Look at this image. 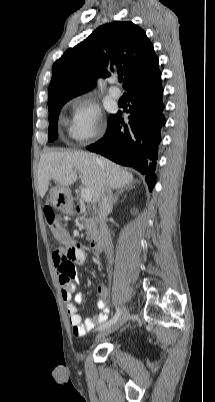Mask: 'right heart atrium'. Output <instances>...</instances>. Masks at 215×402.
I'll return each mask as SVG.
<instances>
[{"instance_id":"d8ad5b80","label":"right heart atrium","mask_w":215,"mask_h":402,"mask_svg":"<svg viewBox=\"0 0 215 402\" xmlns=\"http://www.w3.org/2000/svg\"><path fill=\"white\" fill-rule=\"evenodd\" d=\"M102 112L100 107L88 98H76L71 102L69 136L79 145L95 139L101 131Z\"/></svg>"}]
</instances>
